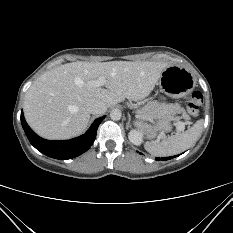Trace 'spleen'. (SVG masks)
<instances>
[{
  "mask_svg": "<svg viewBox=\"0 0 233 233\" xmlns=\"http://www.w3.org/2000/svg\"><path fill=\"white\" fill-rule=\"evenodd\" d=\"M202 128L203 120H198L193 127L185 132L172 135L162 141H147L144 147L153 156L166 157L176 155L188 149L199 139Z\"/></svg>",
  "mask_w": 233,
  "mask_h": 233,
  "instance_id": "3e777b00",
  "label": "spleen"
}]
</instances>
